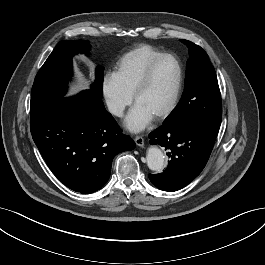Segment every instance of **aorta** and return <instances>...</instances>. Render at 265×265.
<instances>
[{"label": "aorta", "mask_w": 265, "mask_h": 265, "mask_svg": "<svg viewBox=\"0 0 265 265\" xmlns=\"http://www.w3.org/2000/svg\"><path fill=\"white\" fill-rule=\"evenodd\" d=\"M147 165L152 171H160L164 167V154L158 147H151L147 152Z\"/></svg>", "instance_id": "aorta-1"}]
</instances>
